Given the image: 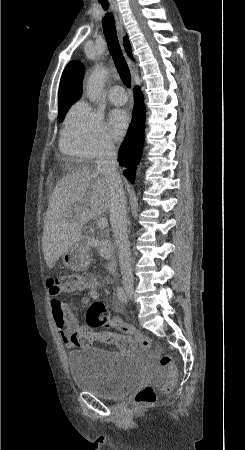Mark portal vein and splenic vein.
<instances>
[{
  "label": "portal vein and splenic vein",
  "instance_id": "18ae733b",
  "mask_svg": "<svg viewBox=\"0 0 245 450\" xmlns=\"http://www.w3.org/2000/svg\"><path fill=\"white\" fill-rule=\"evenodd\" d=\"M97 225L100 229H104L108 226V222L106 218H100L97 222Z\"/></svg>",
  "mask_w": 245,
  "mask_h": 450
}]
</instances>
